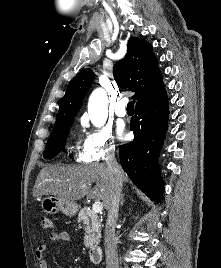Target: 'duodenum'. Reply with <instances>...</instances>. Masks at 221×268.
Instances as JSON below:
<instances>
[{
	"mask_svg": "<svg viewBox=\"0 0 221 268\" xmlns=\"http://www.w3.org/2000/svg\"><path fill=\"white\" fill-rule=\"evenodd\" d=\"M89 258L93 263L100 262L103 258V249L101 248V246H92L89 250Z\"/></svg>",
	"mask_w": 221,
	"mask_h": 268,
	"instance_id": "obj_1",
	"label": "duodenum"
}]
</instances>
